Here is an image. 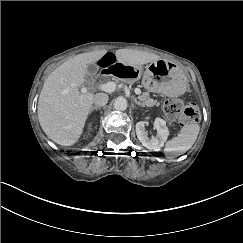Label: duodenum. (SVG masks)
<instances>
[{"label":"duodenum","mask_w":243,"mask_h":243,"mask_svg":"<svg viewBox=\"0 0 243 243\" xmlns=\"http://www.w3.org/2000/svg\"><path fill=\"white\" fill-rule=\"evenodd\" d=\"M101 75L110 76L120 80H127L137 76V69L135 66L126 63H118L102 70Z\"/></svg>","instance_id":"duodenum-1"}]
</instances>
